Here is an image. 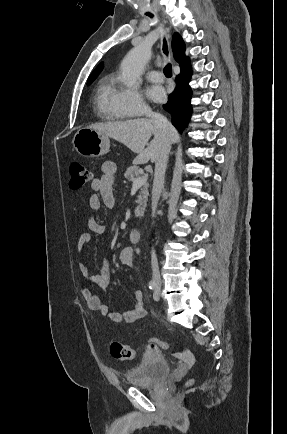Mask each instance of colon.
<instances>
[{
	"mask_svg": "<svg viewBox=\"0 0 287 434\" xmlns=\"http://www.w3.org/2000/svg\"><path fill=\"white\" fill-rule=\"evenodd\" d=\"M70 183L71 189L76 190L83 187L92 179V172L83 164L73 163L70 166ZM150 345L168 350L169 344L157 338L149 340ZM110 352L113 358L118 360H133L135 358V350L129 346H126L120 342L113 341L110 345ZM184 357L187 359V355L184 353ZM193 381L187 383L188 386L192 385Z\"/></svg>",
	"mask_w": 287,
	"mask_h": 434,
	"instance_id": "1",
	"label": "colon"
}]
</instances>
